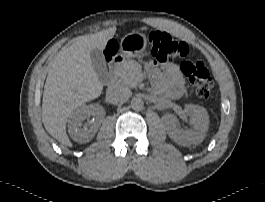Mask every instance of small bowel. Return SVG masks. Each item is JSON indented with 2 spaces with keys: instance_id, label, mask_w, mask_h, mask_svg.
<instances>
[{
  "instance_id": "c3829d8e",
  "label": "small bowel",
  "mask_w": 265,
  "mask_h": 202,
  "mask_svg": "<svg viewBox=\"0 0 265 202\" xmlns=\"http://www.w3.org/2000/svg\"><path fill=\"white\" fill-rule=\"evenodd\" d=\"M145 70L152 81L155 92L178 96L182 92L183 76L180 68L175 63L159 64L155 61L146 62ZM165 85V88L161 87Z\"/></svg>"
}]
</instances>
